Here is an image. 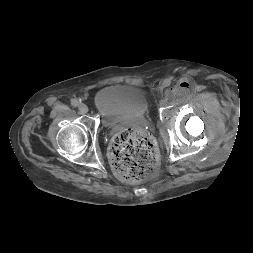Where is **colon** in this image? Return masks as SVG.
Here are the masks:
<instances>
[{"instance_id":"1","label":"colon","mask_w":253,"mask_h":253,"mask_svg":"<svg viewBox=\"0 0 253 253\" xmlns=\"http://www.w3.org/2000/svg\"><path fill=\"white\" fill-rule=\"evenodd\" d=\"M116 176L125 182H139L149 177L157 165L153 140L142 129H125L116 134L110 148Z\"/></svg>"}]
</instances>
